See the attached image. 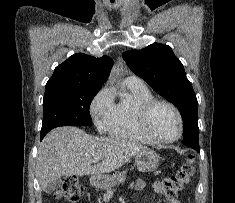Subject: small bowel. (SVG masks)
Instances as JSON below:
<instances>
[{
	"label": "small bowel",
	"instance_id": "obj_1",
	"mask_svg": "<svg viewBox=\"0 0 235 203\" xmlns=\"http://www.w3.org/2000/svg\"><path fill=\"white\" fill-rule=\"evenodd\" d=\"M144 186H145V182H144L143 180H138V181H137V183H136V188H137L138 190L143 189ZM172 203H180V202H178V201H173Z\"/></svg>",
	"mask_w": 235,
	"mask_h": 203
}]
</instances>
